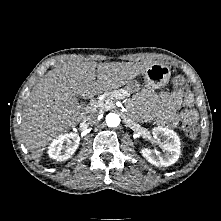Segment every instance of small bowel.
Here are the masks:
<instances>
[{
    "instance_id": "small-bowel-1",
    "label": "small bowel",
    "mask_w": 221,
    "mask_h": 221,
    "mask_svg": "<svg viewBox=\"0 0 221 221\" xmlns=\"http://www.w3.org/2000/svg\"><path fill=\"white\" fill-rule=\"evenodd\" d=\"M194 101L191 92L173 91L162 96L163 109L159 115V124L174 127L187 119H197V112L192 108ZM181 106L186 108L178 111Z\"/></svg>"
}]
</instances>
